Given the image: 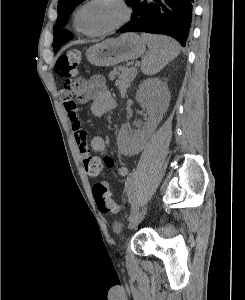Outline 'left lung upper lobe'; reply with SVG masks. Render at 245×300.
I'll return each instance as SVG.
<instances>
[{
    "instance_id": "left-lung-upper-lobe-1",
    "label": "left lung upper lobe",
    "mask_w": 245,
    "mask_h": 300,
    "mask_svg": "<svg viewBox=\"0 0 245 300\" xmlns=\"http://www.w3.org/2000/svg\"><path fill=\"white\" fill-rule=\"evenodd\" d=\"M84 0H59L58 2V18H57V25L54 26L53 34H54V41H53V50L54 52L65 42L72 39V33L66 29H63L59 26L66 25V18L70 15L71 11L79 5ZM134 0H126V3L132 6Z\"/></svg>"
}]
</instances>
